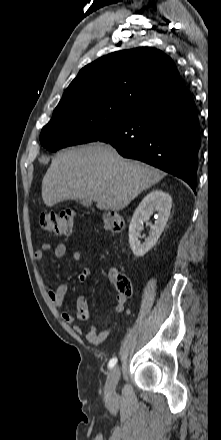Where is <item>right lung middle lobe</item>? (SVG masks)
<instances>
[{"instance_id": "dd1d6c3e", "label": "right lung middle lobe", "mask_w": 221, "mask_h": 440, "mask_svg": "<svg viewBox=\"0 0 221 440\" xmlns=\"http://www.w3.org/2000/svg\"><path fill=\"white\" fill-rule=\"evenodd\" d=\"M135 108L114 102H79L54 110L40 142L55 152L67 146L97 141L121 124Z\"/></svg>"}]
</instances>
